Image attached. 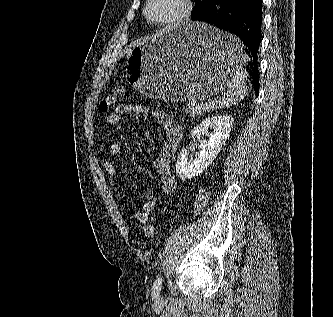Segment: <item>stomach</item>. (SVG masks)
<instances>
[{
	"label": "stomach",
	"mask_w": 333,
	"mask_h": 317,
	"mask_svg": "<svg viewBox=\"0 0 333 317\" xmlns=\"http://www.w3.org/2000/svg\"><path fill=\"white\" fill-rule=\"evenodd\" d=\"M246 45L217 24L172 26L132 47L126 56L129 83L143 96L171 102L198 101L232 88Z\"/></svg>",
	"instance_id": "0dacf381"
}]
</instances>
